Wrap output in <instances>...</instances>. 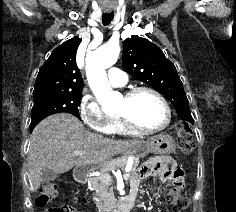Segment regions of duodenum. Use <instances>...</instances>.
<instances>
[{
	"label": "duodenum",
	"mask_w": 236,
	"mask_h": 212,
	"mask_svg": "<svg viewBox=\"0 0 236 212\" xmlns=\"http://www.w3.org/2000/svg\"><path fill=\"white\" fill-rule=\"evenodd\" d=\"M90 170L84 166H79L74 170V178L80 183L84 184L87 181ZM138 196V189H131L130 193L121 199L118 204L110 209H107L106 212H129L131 208L136 204Z\"/></svg>",
	"instance_id": "duodenum-1"
}]
</instances>
